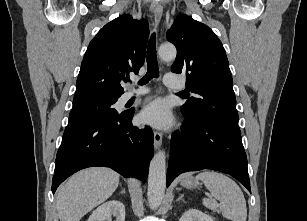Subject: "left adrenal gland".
<instances>
[{
    "mask_svg": "<svg viewBox=\"0 0 307 221\" xmlns=\"http://www.w3.org/2000/svg\"><path fill=\"white\" fill-rule=\"evenodd\" d=\"M184 201V199H183V195H180L178 198H177V200L176 201Z\"/></svg>",
    "mask_w": 307,
    "mask_h": 221,
    "instance_id": "obj_1",
    "label": "left adrenal gland"
}]
</instances>
